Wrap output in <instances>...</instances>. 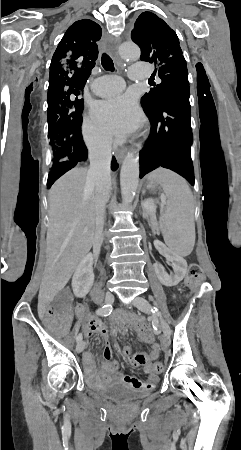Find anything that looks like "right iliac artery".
<instances>
[{"label":"right iliac artery","instance_id":"obj_1","mask_svg":"<svg viewBox=\"0 0 241 450\" xmlns=\"http://www.w3.org/2000/svg\"><path fill=\"white\" fill-rule=\"evenodd\" d=\"M112 312V306L111 305H104L101 308L96 310V315L98 316H108ZM82 340V334L79 333L76 337V341L80 342Z\"/></svg>","mask_w":241,"mask_h":450}]
</instances>
